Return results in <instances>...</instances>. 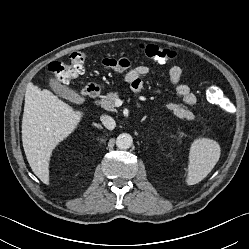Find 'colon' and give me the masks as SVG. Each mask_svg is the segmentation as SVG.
<instances>
[{"mask_svg":"<svg viewBox=\"0 0 249 249\" xmlns=\"http://www.w3.org/2000/svg\"><path fill=\"white\" fill-rule=\"evenodd\" d=\"M140 50L147 58L161 64L169 63L175 58V52L173 50L154 44H142ZM85 62L86 53L83 51H75L70 54L67 62L51 63L48 66V71L58 82L66 83L84 73ZM104 65L118 69L125 66V63L119 59H107ZM206 97L209 102L225 110V96L219 87L215 85L207 86Z\"/></svg>","mask_w":249,"mask_h":249,"instance_id":"colon-1","label":"colon"}]
</instances>
